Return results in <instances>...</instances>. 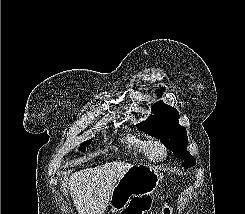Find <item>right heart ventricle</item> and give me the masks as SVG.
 <instances>
[{
  "label": "right heart ventricle",
  "instance_id": "obj_1",
  "mask_svg": "<svg viewBox=\"0 0 245 214\" xmlns=\"http://www.w3.org/2000/svg\"><path fill=\"white\" fill-rule=\"evenodd\" d=\"M149 142L150 141L148 139L132 134H129L124 138V143L129 149L136 151L148 158H150L148 153Z\"/></svg>",
  "mask_w": 245,
  "mask_h": 214
}]
</instances>
